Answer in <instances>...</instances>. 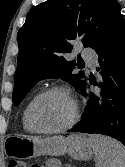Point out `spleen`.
<instances>
[{"label":"spleen","mask_w":125,"mask_h":167,"mask_svg":"<svg viewBox=\"0 0 125 167\" xmlns=\"http://www.w3.org/2000/svg\"><path fill=\"white\" fill-rule=\"evenodd\" d=\"M99 167H125V146L117 140L103 136L90 137Z\"/></svg>","instance_id":"3e777b00"}]
</instances>
